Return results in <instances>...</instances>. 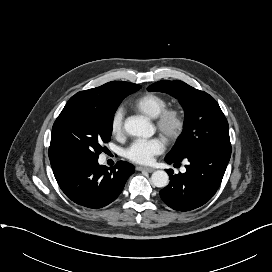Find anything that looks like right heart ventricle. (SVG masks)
<instances>
[{
  "mask_svg": "<svg viewBox=\"0 0 272 272\" xmlns=\"http://www.w3.org/2000/svg\"><path fill=\"white\" fill-rule=\"evenodd\" d=\"M167 100L155 93H146L140 96L133 104L134 109L139 113L155 118L163 109L167 107Z\"/></svg>",
  "mask_w": 272,
  "mask_h": 272,
  "instance_id": "right-heart-ventricle-1",
  "label": "right heart ventricle"
}]
</instances>
